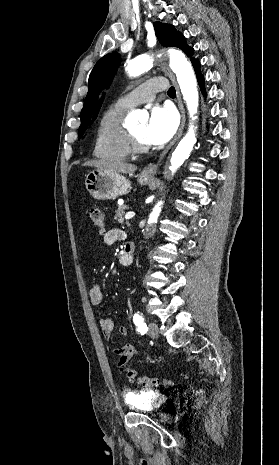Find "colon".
Instances as JSON below:
<instances>
[{"label": "colon", "instance_id": "5ec220e1", "mask_svg": "<svg viewBox=\"0 0 279 465\" xmlns=\"http://www.w3.org/2000/svg\"><path fill=\"white\" fill-rule=\"evenodd\" d=\"M91 223L100 231L104 229V218L102 212L98 208H91L89 211ZM125 372L130 380H137V382L144 387H158V386H172L173 380L159 379L148 376L137 377L136 372L131 368H125Z\"/></svg>", "mask_w": 279, "mask_h": 465}]
</instances>
